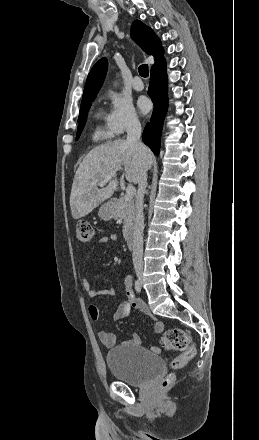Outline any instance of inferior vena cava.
<instances>
[{
  "label": "inferior vena cava",
  "mask_w": 259,
  "mask_h": 440,
  "mask_svg": "<svg viewBox=\"0 0 259 440\" xmlns=\"http://www.w3.org/2000/svg\"><path fill=\"white\" fill-rule=\"evenodd\" d=\"M127 142L132 143L138 150L142 171L138 180V191L135 202V226L133 230V264L136 271L143 270V230H144V217H143V203L144 194L147 187V170L148 167L145 162L148 148L140 141L141 137V124L138 119H131L128 123L127 129Z\"/></svg>",
  "instance_id": "obj_1"
}]
</instances>
